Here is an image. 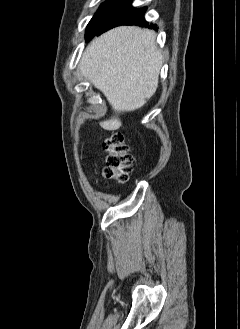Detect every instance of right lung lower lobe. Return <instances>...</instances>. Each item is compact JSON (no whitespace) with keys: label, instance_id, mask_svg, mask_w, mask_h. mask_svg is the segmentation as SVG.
<instances>
[{"label":"right lung lower lobe","instance_id":"1","mask_svg":"<svg viewBox=\"0 0 240 329\" xmlns=\"http://www.w3.org/2000/svg\"><path fill=\"white\" fill-rule=\"evenodd\" d=\"M132 0H122L116 7H114L101 22L93 36H98L105 31L120 25H138L151 28L145 21L144 14L146 7L135 9L131 6ZM157 29L156 25L153 26ZM92 36V37H93Z\"/></svg>","mask_w":240,"mask_h":329}]
</instances>
